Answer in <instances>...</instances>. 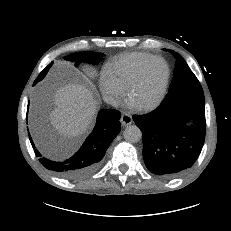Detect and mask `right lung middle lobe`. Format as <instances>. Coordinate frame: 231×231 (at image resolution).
<instances>
[{
    "label": "right lung middle lobe",
    "mask_w": 231,
    "mask_h": 231,
    "mask_svg": "<svg viewBox=\"0 0 231 231\" xmlns=\"http://www.w3.org/2000/svg\"><path fill=\"white\" fill-rule=\"evenodd\" d=\"M103 57V54L97 53V52H78L71 54L66 57V60L74 61L76 66L79 62H88L92 63L94 65L98 64ZM53 62L50 63L38 76V78L35 80L34 84L41 81L45 75L47 74L49 68L52 66Z\"/></svg>",
    "instance_id": "obj_1"
}]
</instances>
